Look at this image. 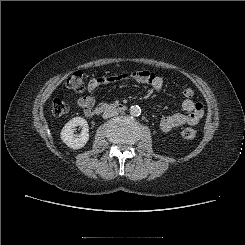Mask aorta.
Wrapping results in <instances>:
<instances>
[{
  "label": "aorta",
  "mask_w": 245,
  "mask_h": 245,
  "mask_svg": "<svg viewBox=\"0 0 245 245\" xmlns=\"http://www.w3.org/2000/svg\"><path fill=\"white\" fill-rule=\"evenodd\" d=\"M129 111L132 116H139L141 114V108L137 105L131 106Z\"/></svg>",
  "instance_id": "aorta-1"
}]
</instances>
